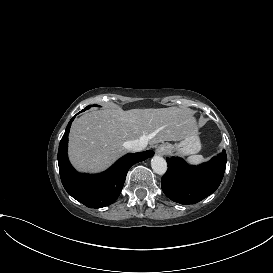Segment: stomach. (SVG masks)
Wrapping results in <instances>:
<instances>
[{
  "mask_svg": "<svg viewBox=\"0 0 273 273\" xmlns=\"http://www.w3.org/2000/svg\"><path fill=\"white\" fill-rule=\"evenodd\" d=\"M164 144L166 143L159 145L158 149H162ZM202 146L203 144L200 138L198 139L185 138L176 143H169V146L167 147V151L169 155L172 154L173 152H176L177 155L181 157H186V156H193L199 153L202 149Z\"/></svg>",
  "mask_w": 273,
  "mask_h": 273,
  "instance_id": "0dacf381",
  "label": "stomach"
}]
</instances>
